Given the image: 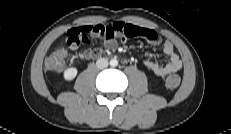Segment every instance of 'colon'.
<instances>
[{
  "label": "colon",
  "mask_w": 231,
  "mask_h": 134,
  "mask_svg": "<svg viewBox=\"0 0 231 134\" xmlns=\"http://www.w3.org/2000/svg\"><path fill=\"white\" fill-rule=\"evenodd\" d=\"M66 61V52L57 50L46 59L47 69L55 72L62 71ZM180 77L176 74L168 76L165 80V85L169 89H176L180 85Z\"/></svg>",
  "instance_id": "obj_1"
}]
</instances>
